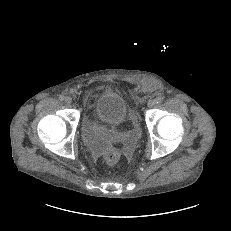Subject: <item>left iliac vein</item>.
<instances>
[{
  "instance_id": "obj_1",
  "label": "left iliac vein",
  "mask_w": 231,
  "mask_h": 231,
  "mask_svg": "<svg viewBox=\"0 0 231 231\" xmlns=\"http://www.w3.org/2000/svg\"><path fill=\"white\" fill-rule=\"evenodd\" d=\"M147 105H148L149 108L154 107L155 106V100H152V99L149 100L148 103H147Z\"/></svg>"
}]
</instances>
